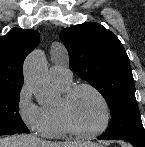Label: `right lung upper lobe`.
Masks as SVG:
<instances>
[{"label":"right lung upper lobe","mask_w":145,"mask_h":147,"mask_svg":"<svg viewBox=\"0 0 145 147\" xmlns=\"http://www.w3.org/2000/svg\"><path fill=\"white\" fill-rule=\"evenodd\" d=\"M39 40V32L19 28L0 37V91L22 87L24 59Z\"/></svg>","instance_id":"right-lung-upper-lobe-1"}]
</instances>
